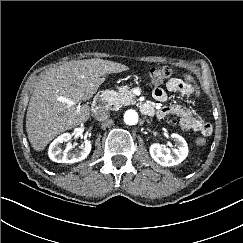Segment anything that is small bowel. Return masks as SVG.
<instances>
[{"label":"small bowel","mask_w":243,"mask_h":243,"mask_svg":"<svg viewBox=\"0 0 243 243\" xmlns=\"http://www.w3.org/2000/svg\"><path fill=\"white\" fill-rule=\"evenodd\" d=\"M167 92L182 95L186 98L196 96L198 94L197 88L190 78H182L175 76L171 78L166 88L157 87L153 90L152 96L158 102H165L167 100ZM150 112L148 115H154L158 118H164L167 115L174 114L179 117L182 128L186 130H193L200 132L203 136H209L212 133V126L194 110L185 105H171L156 108L152 103H145Z\"/></svg>","instance_id":"small-bowel-1"}]
</instances>
